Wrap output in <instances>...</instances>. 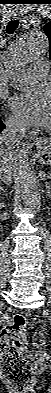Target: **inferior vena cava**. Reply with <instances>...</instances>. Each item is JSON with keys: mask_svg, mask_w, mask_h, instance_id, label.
Wrapping results in <instances>:
<instances>
[{"mask_svg": "<svg viewBox=\"0 0 51 393\" xmlns=\"http://www.w3.org/2000/svg\"><path fill=\"white\" fill-rule=\"evenodd\" d=\"M25 127L14 122H8L6 128L0 135V180L4 184H11L12 182V167L8 163L6 155L11 152V148L19 145L22 138L25 136Z\"/></svg>", "mask_w": 51, "mask_h": 393, "instance_id": "1", "label": "inferior vena cava"}]
</instances>
